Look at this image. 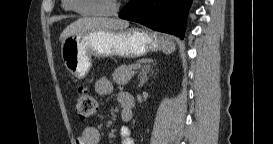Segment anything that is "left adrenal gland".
<instances>
[{
  "mask_svg": "<svg viewBox=\"0 0 273 144\" xmlns=\"http://www.w3.org/2000/svg\"><path fill=\"white\" fill-rule=\"evenodd\" d=\"M152 62H153L152 60H149L148 63L143 65V67L141 68L139 72V76H138V79H139L138 87H142L147 82L149 78L148 74L149 72H152V69H151Z\"/></svg>",
  "mask_w": 273,
  "mask_h": 144,
  "instance_id": "left-adrenal-gland-1",
  "label": "left adrenal gland"
}]
</instances>
